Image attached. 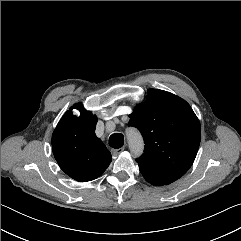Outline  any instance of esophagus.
Masks as SVG:
<instances>
[{"label": "esophagus", "mask_w": 241, "mask_h": 241, "mask_svg": "<svg viewBox=\"0 0 241 241\" xmlns=\"http://www.w3.org/2000/svg\"><path fill=\"white\" fill-rule=\"evenodd\" d=\"M122 151H124V147H121L119 149H111V153L114 156H117L118 154H120Z\"/></svg>", "instance_id": "34e87169"}]
</instances>
